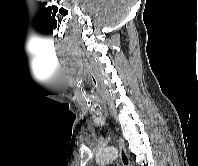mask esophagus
I'll list each match as a JSON object with an SVG mask.
<instances>
[{
    "label": "esophagus",
    "instance_id": "esophagus-1",
    "mask_svg": "<svg viewBox=\"0 0 198 166\" xmlns=\"http://www.w3.org/2000/svg\"><path fill=\"white\" fill-rule=\"evenodd\" d=\"M119 156L123 166H131L129 155L126 151L124 141L119 138Z\"/></svg>",
    "mask_w": 198,
    "mask_h": 166
}]
</instances>
